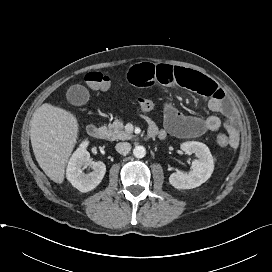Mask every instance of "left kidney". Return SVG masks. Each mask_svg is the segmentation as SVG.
<instances>
[{
  "instance_id": "obj_1",
  "label": "left kidney",
  "mask_w": 272,
  "mask_h": 272,
  "mask_svg": "<svg viewBox=\"0 0 272 272\" xmlns=\"http://www.w3.org/2000/svg\"><path fill=\"white\" fill-rule=\"evenodd\" d=\"M181 149L188 155L195 153L198 159L192 162V171H176L169 177L170 184L176 189H192L206 182L214 170V161L209 148L196 141L181 144Z\"/></svg>"
}]
</instances>
